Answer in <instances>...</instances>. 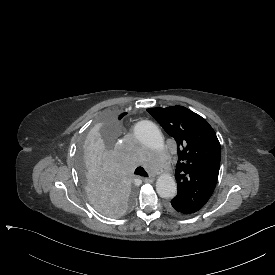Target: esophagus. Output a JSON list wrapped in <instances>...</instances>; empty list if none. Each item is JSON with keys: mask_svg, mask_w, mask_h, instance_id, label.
<instances>
[{"mask_svg": "<svg viewBox=\"0 0 275 275\" xmlns=\"http://www.w3.org/2000/svg\"><path fill=\"white\" fill-rule=\"evenodd\" d=\"M143 181L146 182V183H150L153 181V179L151 178H143Z\"/></svg>", "mask_w": 275, "mask_h": 275, "instance_id": "34e87169", "label": "esophagus"}]
</instances>
